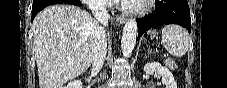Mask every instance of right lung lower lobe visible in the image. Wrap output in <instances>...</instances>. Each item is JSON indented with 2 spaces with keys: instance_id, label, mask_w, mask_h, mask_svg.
Returning a JSON list of instances; mask_svg holds the SVG:
<instances>
[{
  "instance_id": "obj_1",
  "label": "right lung lower lobe",
  "mask_w": 227,
  "mask_h": 88,
  "mask_svg": "<svg viewBox=\"0 0 227 88\" xmlns=\"http://www.w3.org/2000/svg\"><path fill=\"white\" fill-rule=\"evenodd\" d=\"M68 1L69 0H33L31 20L33 21L37 13L40 12L46 6L56 4V3H69ZM74 5H81V4H74Z\"/></svg>"
}]
</instances>
